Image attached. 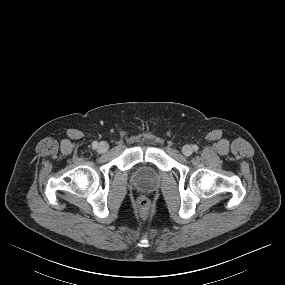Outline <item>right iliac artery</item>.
Here are the masks:
<instances>
[{
	"mask_svg": "<svg viewBox=\"0 0 285 285\" xmlns=\"http://www.w3.org/2000/svg\"><path fill=\"white\" fill-rule=\"evenodd\" d=\"M97 146H98V142H97V141H94V142L92 143V147L95 149V148H97Z\"/></svg>",
	"mask_w": 285,
	"mask_h": 285,
	"instance_id": "82829eb1",
	"label": "right iliac artery"
}]
</instances>
